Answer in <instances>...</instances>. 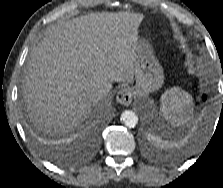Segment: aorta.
<instances>
[{
    "mask_svg": "<svg viewBox=\"0 0 223 188\" xmlns=\"http://www.w3.org/2000/svg\"><path fill=\"white\" fill-rule=\"evenodd\" d=\"M121 121L128 128H134L138 123V116L131 110H126L121 114Z\"/></svg>",
    "mask_w": 223,
    "mask_h": 188,
    "instance_id": "aorta-1",
    "label": "aorta"
}]
</instances>
